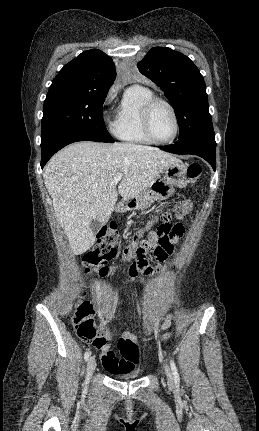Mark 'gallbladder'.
Returning a JSON list of instances; mask_svg holds the SVG:
<instances>
[{"instance_id": "bac80fb5", "label": "gallbladder", "mask_w": 259, "mask_h": 431, "mask_svg": "<svg viewBox=\"0 0 259 431\" xmlns=\"http://www.w3.org/2000/svg\"><path fill=\"white\" fill-rule=\"evenodd\" d=\"M100 227H101V223L98 220H95V219L91 220L90 228L93 233L96 234L99 231Z\"/></svg>"}]
</instances>
